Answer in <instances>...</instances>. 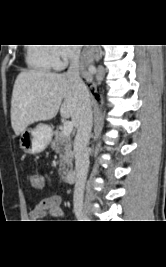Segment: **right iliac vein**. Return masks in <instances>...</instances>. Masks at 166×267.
I'll list each match as a JSON object with an SVG mask.
<instances>
[{
  "mask_svg": "<svg viewBox=\"0 0 166 267\" xmlns=\"http://www.w3.org/2000/svg\"><path fill=\"white\" fill-rule=\"evenodd\" d=\"M76 215L78 219H87V216L82 211H78Z\"/></svg>",
  "mask_w": 166,
  "mask_h": 267,
  "instance_id": "63e3f726",
  "label": "right iliac vein"
}]
</instances>
